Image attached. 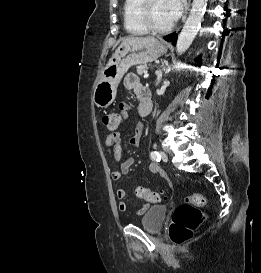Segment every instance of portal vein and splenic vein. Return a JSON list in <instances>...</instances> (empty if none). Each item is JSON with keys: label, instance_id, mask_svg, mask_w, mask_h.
Wrapping results in <instances>:
<instances>
[{"label": "portal vein and splenic vein", "instance_id": "portal-vein-and-splenic-vein-1", "mask_svg": "<svg viewBox=\"0 0 261 273\" xmlns=\"http://www.w3.org/2000/svg\"><path fill=\"white\" fill-rule=\"evenodd\" d=\"M149 77V73L146 71L145 73H144V78H148Z\"/></svg>", "mask_w": 261, "mask_h": 273}]
</instances>
